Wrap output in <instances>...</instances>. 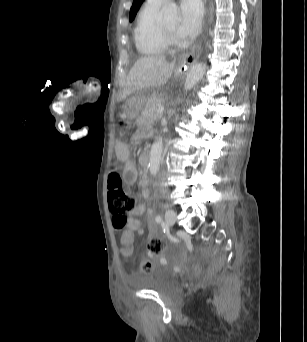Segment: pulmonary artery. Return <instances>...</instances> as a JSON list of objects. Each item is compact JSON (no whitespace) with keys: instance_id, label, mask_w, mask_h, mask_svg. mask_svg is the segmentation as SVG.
<instances>
[{"instance_id":"pulmonary-artery-1","label":"pulmonary artery","mask_w":307,"mask_h":342,"mask_svg":"<svg viewBox=\"0 0 307 342\" xmlns=\"http://www.w3.org/2000/svg\"><path fill=\"white\" fill-rule=\"evenodd\" d=\"M169 1H146L147 8L153 11H158L161 6Z\"/></svg>"}]
</instances>
